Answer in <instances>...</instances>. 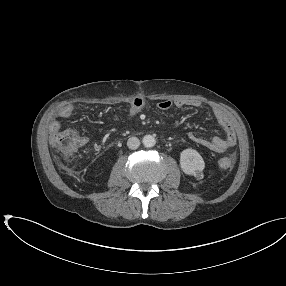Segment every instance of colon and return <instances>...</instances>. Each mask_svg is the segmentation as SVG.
<instances>
[{
  "mask_svg": "<svg viewBox=\"0 0 286 286\" xmlns=\"http://www.w3.org/2000/svg\"><path fill=\"white\" fill-rule=\"evenodd\" d=\"M51 141L55 148L61 153V155L68 161L77 150L85 143V139L77 132L72 130L57 131L51 136ZM235 156L222 158L219 161V166L222 169H230L234 165Z\"/></svg>",
  "mask_w": 286,
  "mask_h": 286,
  "instance_id": "1",
  "label": "colon"
}]
</instances>
